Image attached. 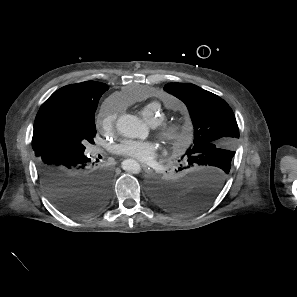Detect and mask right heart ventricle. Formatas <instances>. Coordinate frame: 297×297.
I'll list each match as a JSON object with an SVG mask.
<instances>
[{"instance_id": "1", "label": "right heart ventricle", "mask_w": 297, "mask_h": 297, "mask_svg": "<svg viewBox=\"0 0 297 297\" xmlns=\"http://www.w3.org/2000/svg\"><path fill=\"white\" fill-rule=\"evenodd\" d=\"M160 106V101L150 102L142 107L140 113L148 123L154 125L163 118V114L159 112Z\"/></svg>"}]
</instances>
